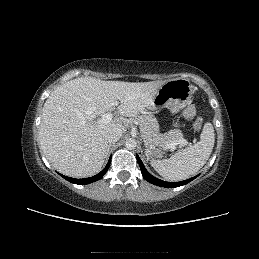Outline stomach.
Returning <instances> with one entry per match:
<instances>
[{"mask_svg":"<svg viewBox=\"0 0 259 259\" xmlns=\"http://www.w3.org/2000/svg\"><path fill=\"white\" fill-rule=\"evenodd\" d=\"M194 88L189 80L185 78L172 79L165 82L158 90L150 110L168 108L172 114L179 112L190 101ZM167 150L164 145L145 143V154L148 158H157Z\"/></svg>","mask_w":259,"mask_h":259,"instance_id":"stomach-1","label":"stomach"}]
</instances>
